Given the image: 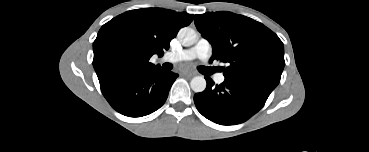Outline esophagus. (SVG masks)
Returning a JSON list of instances; mask_svg holds the SVG:
<instances>
[{
    "label": "esophagus",
    "mask_w": 369,
    "mask_h": 152,
    "mask_svg": "<svg viewBox=\"0 0 369 152\" xmlns=\"http://www.w3.org/2000/svg\"><path fill=\"white\" fill-rule=\"evenodd\" d=\"M195 75H196V72H193V71H185L183 73V76L188 77V78H191V77H193Z\"/></svg>",
    "instance_id": "obj_1"
}]
</instances>
